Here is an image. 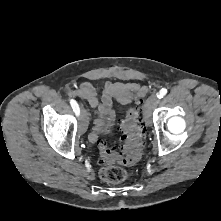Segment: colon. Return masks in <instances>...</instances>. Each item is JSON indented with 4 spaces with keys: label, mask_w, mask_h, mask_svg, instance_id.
I'll return each mask as SVG.
<instances>
[{
    "label": "colon",
    "mask_w": 221,
    "mask_h": 221,
    "mask_svg": "<svg viewBox=\"0 0 221 221\" xmlns=\"http://www.w3.org/2000/svg\"><path fill=\"white\" fill-rule=\"evenodd\" d=\"M138 108L129 111L121 124V145L118 150L109 149L103 141L98 142L101 162L100 177L107 183H121L129 174L119 165L136 163L143 147V129Z\"/></svg>",
    "instance_id": "colon-1"
}]
</instances>
